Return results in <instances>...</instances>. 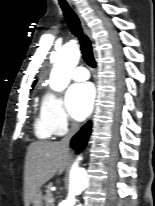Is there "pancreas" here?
Wrapping results in <instances>:
<instances>
[{
    "label": "pancreas",
    "instance_id": "1",
    "mask_svg": "<svg viewBox=\"0 0 155 206\" xmlns=\"http://www.w3.org/2000/svg\"><path fill=\"white\" fill-rule=\"evenodd\" d=\"M50 188H51V184L47 185V189L45 190L44 200L46 202V206H54L53 199H52L53 195Z\"/></svg>",
    "mask_w": 155,
    "mask_h": 206
}]
</instances>
